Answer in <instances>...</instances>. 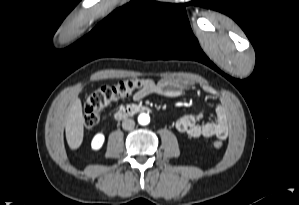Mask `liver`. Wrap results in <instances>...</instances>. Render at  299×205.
<instances>
[{"instance_id": "obj_1", "label": "liver", "mask_w": 299, "mask_h": 205, "mask_svg": "<svg viewBox=\"0 0 299 205\" xmlns=\"http://www.w3.org/2000/svg\"><path fill=\"white\" fill-rule=\"evenodd\" d=\"M84 120L82 104L79 98H75L65 118L66 140L71 149L80 147L83 141Z\"/></svg>"}]
</instances>
